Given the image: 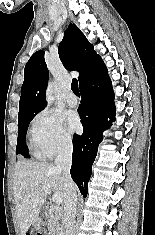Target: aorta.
<instances>
[{"label":"aorta","instance_id":"1","mask_svg":"<svg viewBox=\"0 0 155 235\" xmlns=\"http://www.w3.org/2000/svg\"><path fill=\"white\" fill-rule=\"evenodd\" d=\"M53 89H54V83L50 82L46 90V99L49 105H51L54 101Z\"/></svg>","mask_w":155,"mask_h":235}]
</instances>
